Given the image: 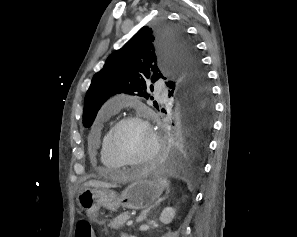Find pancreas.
Wrapping results in <instances>:
<instances>
[{
    "instance_id": "pancreas-1",
    "label": "pancreas",
    "mask_w": 297,
    "mask_h": 237,
    "mask_svg": "<svg viewBox=\"0 0 297 237\" xmlns=\"http://www.w3.org/2000/svg\"><path fill=\"white\" fill-rule=\"evenodd\" d=\"M130 213L129 212H124L122 214H120L119 216H117L116 218H114L110 223H109V227L111 229H120L121 227L124 226V224L130 219Z\"/></svg>"
}]
</instances>
